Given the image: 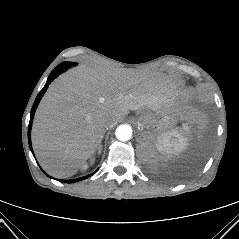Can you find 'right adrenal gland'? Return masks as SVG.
Listing matches in <instances>:
<instances>
[{
  "label": "right adrenal gland",
  "mask_w": 239,
  "mask_h": 239,
  "mask_svg": "<svg viewBox=\"0 0 239 239\" xmlns=\"http://www.w3.org/2000/svg\"><path fill=\"white\" fill-rule=\"evenodd\" d=\"M101 151H102V145H101V143H100L99 146H98V154H100Z\"/></svg>",
  "instance_id": "1"
}]
</instances>
